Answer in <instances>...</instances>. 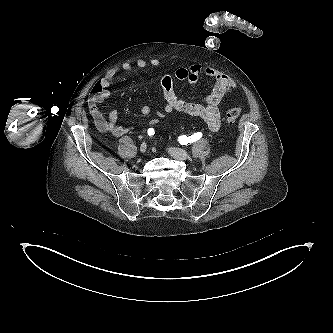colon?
Segmentation results:
<instances>
[{"instance_id":"5ec220e1","label":"colon","mask_w":333,"mask_h":333,"mask_svg":"<svg viewBox=\"0 0 333 333\" xmlns=\"http://www.w3.org/2000/svg\"><path fill=\"white\" fill-rule=\"evenodd\" d=\"M101 92V88L96 84L92 89V96H96ZM241 114V109L239 107L229 108L226 112V119L229 122L235 121Z\"/></svg>"}]
</instances>
